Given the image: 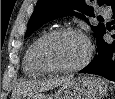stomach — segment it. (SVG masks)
I'll return each mask as SVG.
<instances>
[{
  "label": "stomach",
  "mask_w": 115,
  "mask_h": 99,
  "mask_svg": "<svg viewBox=\"0 0 115 99\" xmlns=\"http://www.w3.org/2000/svg\"><path fill=\"white\" fill-rule=\"evenodd\" d=\"M107 92L106 82L94 76H79L69 80L51 94L33 93L24 99H101Z\"/></svg>",
  "instance_id": "1"
}]
</instances>
